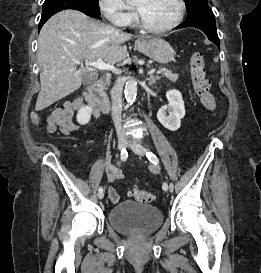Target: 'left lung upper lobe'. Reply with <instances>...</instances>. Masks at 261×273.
<instances>
[{
    "mask_svg": "<svg viewBox=\"0 0 261 273\" xmlns=\"http://www.w3.org/2000/svg\"><path fill=\"white\" fill-rule=\"evenodd\" d=\"M186 2L187 13H190L194 8L207 5V0H184Z\"/></svg>",
    "mask_w": 261,
    "mask_h": 273,
    "instance_id": "obj_1",
    "label": "left lung upper lobe"
}]
</instances>
